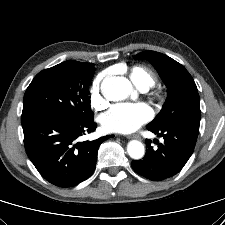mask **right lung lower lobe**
I'll return each mask as SVG.
<instances>
[{"label":"right lung lower lobe","instance_id":"1","mask_svg":"<svg viewBox=\"0 0 225 225\" xmlns=\"http://www.w3.org/2000/svg\"><path fill=\"white\" fill-rule=\"evenodd\" d=\"M21 123L29 159L48 182L62 188L76 186L92 175L100 144L113 136L77 142L86 132L95 131L93 120L79 123L43 110L22 112Z\"/></svg>","mask_w":225,"mask_h":225}]
</instances>
